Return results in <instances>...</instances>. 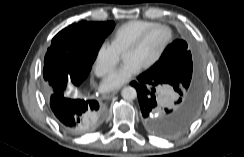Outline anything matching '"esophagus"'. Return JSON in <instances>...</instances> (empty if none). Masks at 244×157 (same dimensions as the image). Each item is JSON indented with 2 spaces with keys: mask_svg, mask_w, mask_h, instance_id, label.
Returning a JSON list of instances; mask_svg holds the SVG:
<instances>
[{
  "mask_svg": "<svg viewBox=\"0 0 244 157\" xmlns=\"http://www.w3.org/2000/svg\"><path fill=\"white\" fill-rule=\"evenodd\" d=\"M118 90H113V91H110V92H107L104 94V96L107 98V99H110L111 97H113L115 94H117Z\"/></svg>",
  "mask_w": 244,
  "mask_h": 157,
  "instance_id": "obj_1",
  "label": "esophagus"
}]
</instances>
